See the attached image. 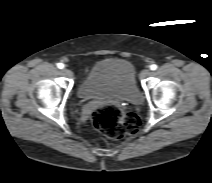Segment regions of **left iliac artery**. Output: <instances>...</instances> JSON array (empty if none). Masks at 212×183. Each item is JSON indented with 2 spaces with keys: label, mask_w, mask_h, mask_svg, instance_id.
Returning a JSON list of instances; mask_svg holds the SVG:
<instances>
[{
  "label": "left iliac artery",
  "mask_w": 212,
  "mask_h": 183,
  "mask_svg": "<svg viewBox=\"0 0 212 183\" xmlns=\"http://www.w3.org/2000/svg\"><path fill=\"white\" fill-rule=\"evenodd\" d=\"M150 69H151V70H156V69H157V65H156V64H152V65L150 66Z\"/></svg>",
  "instance_id": "obj_1"
}]
</instances>
